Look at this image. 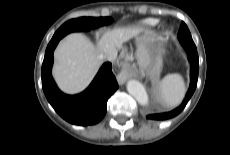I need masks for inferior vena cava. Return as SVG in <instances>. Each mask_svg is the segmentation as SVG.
<instances>
[{
    "instance_id": "obj_1",
    "label": "inferior vena cava",
    "mask_w": 230,
    "mask_h": 155,
    "mask_svg": "<svg viewBox=\"0 0 230 155\" xmlns=\"http://www.w3.org/2000/svg\"><path fill=\"white\" fill-rule=\"evenodd\" d=\"M117 57V50L116 49H112L110 50L106 55H105V59L108 61H114Z\"/></svg>"
}]
</instances>
